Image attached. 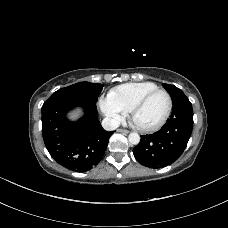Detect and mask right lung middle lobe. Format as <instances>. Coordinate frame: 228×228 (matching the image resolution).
Segmentation results:
<instances>
[{
    "instance_id": "dd1d6c3e",
    "label": "right lung middle lobe",
    "mask_w": 228,
    "mask_h": 228,
    "mask_svg": "<svg viewBox=\"0 0 228 228\" xmlns=\"http://www.w3.org/2000/svg\"><path fill=\"white\" fill-rule=\"evenodd\" d=\"M103 85L99 83L79 82L57 90L54 95L74 96L96 103Z\"/></svg>"
}]
</instances>
